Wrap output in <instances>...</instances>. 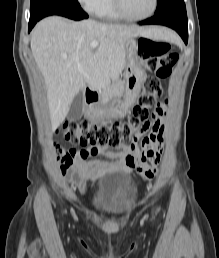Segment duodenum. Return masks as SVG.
Returning a JSON list of instances; mask_svg holds the SVG:
<instances>
[{
    "instance_id": "duodenum-1",
    "label": "duodenum",
    "mask_w": 219,
    "mask_h": 258,
    "mask_svg": "<svg viewBox=\"0 0 219 258\" xmlns=\"http://www.w3.org/2000/svg\"><path fill=\"white\" fill-rule=\"evenodd\" d=\"M85 97H86V101L89 105H94V104H97L99 102L98 92L91 87L86 88Z\"/></svg>"
}]
</instances>
